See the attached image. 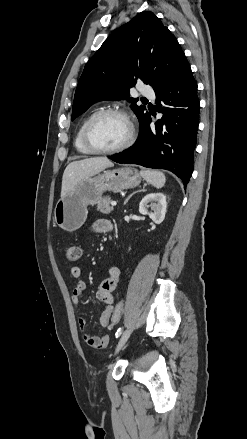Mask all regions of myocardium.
Wrapping results in <instances>:
<instances>
[{
	"mask_svg": "<svg viewBox=\"0 0 247 439\" xmlns=\"http://www.w3.org/2000/svg\"><path fill=\"white\" fill-rule=\"evenodd\" d=\"M104 116H119L123 118L129 127V134L127 139L119 146L111 149H102L94 145L92 139H91V130L93 125L98 121L100 118ZM135 127L132 122L131 117L129 114L121 109H115V108H107L102 109L97 112H95L85 123L82 133V140L85 145V147L91 152L95 154H115L121 151L126 150L129 148L135 141Z\"/></svg>",
	"mask_w": 247,
	"mask_h": 439,
	"instance_id": "f54148a6",
	"label": "myocardium"
}]
</instances>
